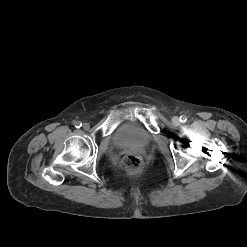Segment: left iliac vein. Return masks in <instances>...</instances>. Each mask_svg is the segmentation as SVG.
I'll use <instances>...</instances> for the list:
<instances>
[{
  "label": "left iliac vein",
  "instance_id": "obj_1",
  "mask_svg": "<svg viewBox=\"0 0 247 247\" xmlns=\"http://www.w3.org/2000/svg\"><path fill=\"white\" fill-rule=\"evenodd\" d=\"M172 122H173L174 125H179L180 120H179V118L177 116H175V117L172 118Z\"/></svg>",
  "mask_w": 247,
  "mask_h": 247
}]
</instances>
